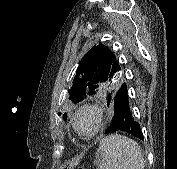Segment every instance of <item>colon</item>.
Here are the masks:
<instances>
[{"label": "colon", "mask_w": 177, "mask_h": 169, "mask_svg": "<svg viewBox=\"0 0 177 169\" xmlns=\"http://www.w3.org/2000/svg\"><path fill=\"white\" fill-rule=\"evenodd\" d=\"M64 169H84V168H81V167H77V168L65 167Z\"/></svg>", "instance_id": "colon-1"}]
</instances>
